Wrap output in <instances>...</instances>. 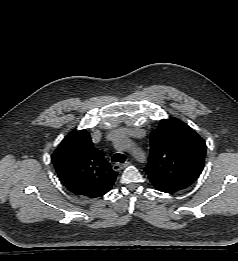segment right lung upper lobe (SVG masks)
I'll return each instance as SVG.
<instances>
[{"instance_id":"right-lung-upper-lobe-1","label":"right lung upper lobe","mask_w":238,"mask_h":261,"mask_svg":"<svg viewBox=\"0 0 238 261\" xmlns=\"http://www.w3.org/2000/svg\"><path fill=\"white\" fill-rule=\"evenodd\" d=\"M52 161L61 182L79 196L104 195L117 176L85 129L71 131L54 151Z\"/></svg>"}]
</instances>
